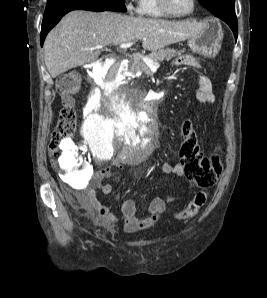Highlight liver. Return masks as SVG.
I'll return each instance as SVG.
<instances>
[{
    "label": "liver",
    "mask_w": 267,
    "mask_h": 298,
    "mask_svg": "<svg viewBox=\"0 0 267 298\" xmlns=\"http://www.w3.org/2000/svg\"><path fill=\"white\" fill-rule=\"evenodd\" d=\"M205 24L131 17L113 12L71 11L47 35L45 64L50 75L60 74L95 61L97 45H121L141 39L142 47L157 51L167 45L198 35Z\"/></svg>",
    "instance_id": "liver-1"
}]
</instances>
